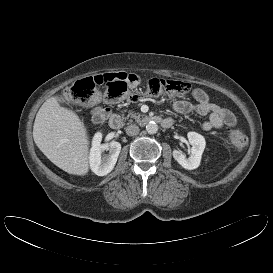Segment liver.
I'll return each mask as SVG.
<instances>
[{"mask_svg":"<svg viewBox=\"0 0 273 273\" xmlns=\"http://www.w3.org/2000/svg\"><path fill=\"white\" fill-rule=\"evenodd\" d=\"M62 96H52L40 107L33 126L38 148L57 167L69 174L89 172V138L79 116L60 105Z\"/></svg>","mask_w":273,"mask_h":273,"instance_id":"obj_1","label":"liver"}]
</instances>
